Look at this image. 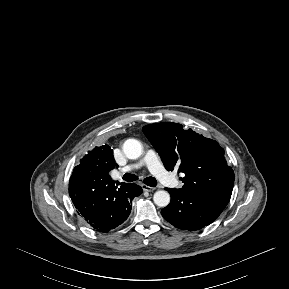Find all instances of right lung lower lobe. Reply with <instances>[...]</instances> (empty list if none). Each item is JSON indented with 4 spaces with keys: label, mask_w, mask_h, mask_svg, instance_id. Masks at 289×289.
<instances>
[{
    "label": "right lung lower lobe",
    "mask_w": 289,
    "mask_h": 289,
    "mask_svg": "<svg viewBox=\"0 0 289 289\" xmlns=\"http://www.w3.org/2000/svg\"><path fill=\"white\" fill-rule=\"evenodd\" d=\"M142 194L136 184L118 189L104 180L74 170L69 181V195L87 224L98 232L107 233L122 224L131 212L133 198Z\"/></svg>",
    "instance_id": "98d812e1"
}]
</instances>
